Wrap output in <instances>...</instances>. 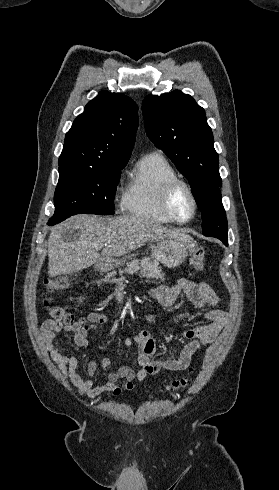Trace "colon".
Listing matches in <instances>:
<instances>
[{"instance_id":"1","label":"colon","mask_w":279,"mask_h":490,"mask_svg":"<svg viewBox=\"0 0 279 490\" xmlns=\"http://www.w3.org/2000/svg\"><path fill=\"white\" fill-rule=\"evenodd\" d=\"M190 266L198 272H202L206 267V250L204 247L200 246L194 251V253L190 257L189 261ZM65 285V282L62 280H57L52 282L49 285L48 292L58 291ZM46 307L48 309L50 317L55 321H63L68 323L71 321L72 316L69 312L62 308L61 306H57L53 304V298L51 295H47L45 298ZM190 384L189 377H178L173 380L171 384L170 391L176 393L181 390H185Z\"/></svg>"}]
</instances>
